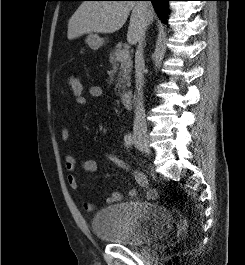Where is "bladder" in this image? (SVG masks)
Segmentation results:
<instances>
[{
    "instance_id": "1",
    "label": "bladder",
    "mask_w": 245,
    "mask_h": 265,
    "mask_svg": "<svg viewBox=\"0 0 245 265\" xmlns=\"http://www.w3.org/2000/svg\"><path fill=\"white\" fill-rule=\"evenodd\" d=\"M170 219L166 209L148 201L119 202L98 210L91 227L112 244L140 246L163 237Z\"/></svg>"
}]
</instances>
